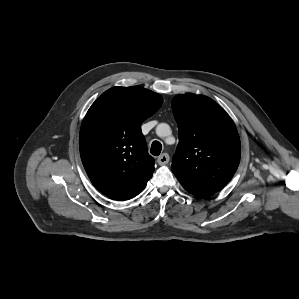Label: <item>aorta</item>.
<instances>
[{"label":"aorta","mask_w":299,"mask_h":299,"mask_svg":"<svg viewBox=\"0 0 299 299\" xmlns=\"http://www.w3.org/2000/svg\"><path fill=\"white\" fill-rule=\"evenodd\" d=\"M170 130L169 125L161 123L156 128V133L158 136H162L164 133H167Z\"/></svg>","instance_id":"762f6f07"}]
</instances>
